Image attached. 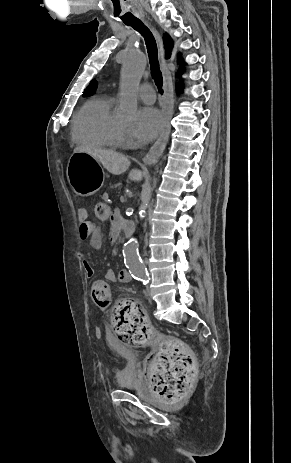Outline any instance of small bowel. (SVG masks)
<instances>
[{
    "label": "small bowel",
    "instance_id": "obj_1",
    "mask_svg": "<svg viewBox=\"0 0 291 463\" xmlns=\"http://www.w3.org/2000/svg\"><path fill=\"white\" fill-rule=\"evenodd\" d=\"M78 219L80 221V239H88L90 246L95 250L101 249L103 243L102 233L100 229L91 220H89V213L86 208L79 210ZM119 219L120 217L116 213H112V218L107 219V221L110 222L109 236L111 237L110 244L112 246H118L120 244V229L116 226ZM78 256L83 258L81 253H79ZM82 264L85 276L87 278H92L94 276L93 268L85 260L82 261ZM104 278L109 282L119 281L122 283H128L131 281V276L128 275L125 270H121L117 275L114 270L108 269L104 274Z\"/></svg>",
    "mask_w": 291,
    "mask_h": 463
}]
</instances>
